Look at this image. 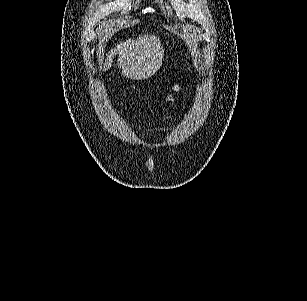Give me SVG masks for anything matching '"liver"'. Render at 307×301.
I'll use <instances>...</instances> for the list:
<instances>
[{"label":"liver","instance_id":"liver-1","mask_svg":"<svg viewBox=\"0 0 307 301\" xmlns=\"http://www.w3.org/2000/svg\"><path fill=\"white\" fill-rule=\"evenodd\" d=\"M155 34H139L138 38L120 40L115 48H110L104 60L103 70H109L118 54L117 66L126 78H149L163 64L164 48Z\"/></svg>","mask_w":307,"mask_h":301}]
</instances>
